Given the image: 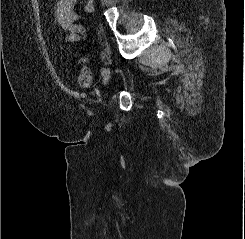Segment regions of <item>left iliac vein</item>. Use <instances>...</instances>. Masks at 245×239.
<instances>
[{
  "label": "left iliac vein",
  "mask_w": 245,
  "mask_h": 239,
  "mask_svg": "<svg viewBox=\"0 0 245 239\" xmlns=\"http://www.w3.org/2000/svg\"><path fill=\"white\" fill-rule=\"evenodd\" d=\"M110 78V68H106L103 75V83L106 84Z\"/></svg>",
  "instance_id": "1"
}]
</instances>
